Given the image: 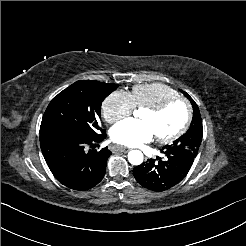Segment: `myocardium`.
Instances as JSON below:
<instances>
[{
    "label": "myocardium",
    "instance_id": "1",
    "mask_svg": "<svg viewBox=\"0 0 246 246\" xmlns=\"http://www.w3.org/2000/svg\"><path fill=\"white\" fill-rule=\"evenodd\" d=\"M181 103L183 104L184 108H185V117H184V121L182 123V125L172 134L167 135V136H156V140L159 143H171L173 141H175L176 139H178L181 135H183L186 130L188 129L191 119H192V108L190 103L187 101V99H185L182 96H174L172 98H169L163 102H161L158 105L155 106H151V107H147L144 110L148 111L149 113H151L152 115H159L162 112H164L166 109H168L171 105L175 104V103Z\"/></svg>",
    "mask_w": 246,
    "mask_h": 246
}]
</instances>
